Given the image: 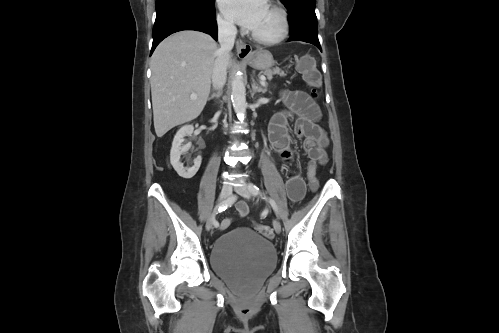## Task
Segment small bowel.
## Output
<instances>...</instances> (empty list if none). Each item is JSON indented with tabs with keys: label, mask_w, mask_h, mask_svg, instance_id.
<instances>
[{
	"label": "small bowel",
	"mask_w": 499,
	"mask_h": 333,
	"mask_svg": "<svg viewBox=\"0 0 499 333\" xmlns=\"http://www.w3.org/2000/svg\"><path fill=\"white\" fill-rule=\"evenodd\" d=\"M283 100L288 111L276 113L269 125L268 135L273 150L285 163L292 162L294 153L291 147L288 119L294 114L297 116L293 129L294 135L302 141V147L310 161L324 165L328 160L326 147L329 141L326 131L318 124L321 119L319 106L303 91H287L283 94ZM286 192L292 201H299L303 198L305 183L298 173L293 172L287 178ZM236 209L240 217L248 214V206L244 201L238 202ZM230 223L231 219L224 220L221 229H226Z\"/></svg>",
	"instance_id": "1"
}]
</instances>
